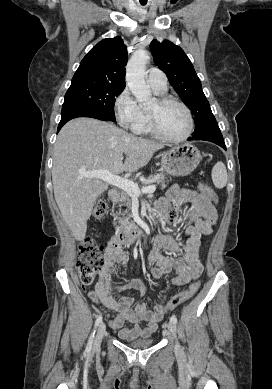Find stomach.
I'll return each instance as SVG.
<instances>
[{
	"instance_id": "1",
	"label": "stomach",
	"mask_w": 272,
	"mask_h": 389,
	"mask_svg": "<svg viewBox=\"0 0 272 389\" xmlns=\"http://www.w3.org/2000/svg\"><path fill=\"white\" fill-rule=\"evenodd\" d=\"M200 151L191 144L178 145L161 154V170L172 176L189 175L200 163Z\"/></svg>"
}]
</instances>
